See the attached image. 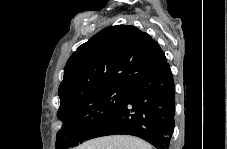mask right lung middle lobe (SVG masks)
<instances>
[{
	"mask_svg": "<svg viewBox=\"0 0 227 149\" xmlns=\"http://www.w3.org/2000/svg\"><path fill=\"white\" fill-rule=\"evenodd\" d=\"M128 87L110 85L95 89L58 110L63 127L56 136V149L78 145L117 111L127 98Z\"/></svg>",
	"mask_w": 227,
	"mask_h": 149,
	"instance_id": "right-lung-middle-lobe-1",
	"label": "right lung middle lobe"
}]
</instances>
